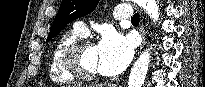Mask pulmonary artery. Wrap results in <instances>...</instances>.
Masks as SVG:
<instances>
[{"instance_id":"1","label":"pulmonary artery","mask_w":205,"mask_h":87,"mask_svg":"<svg viewBox=\"0 0 205 87\" xmlns=\"http://www.w3.org/2000/svg\"><path fill=\"white\" fill-rule=\"evenodd\" d=\"M132 16H133V11L131 5L129 4H124L116 7L112 13L113 20H124V19L131 18ZM74 30H76L81 35H86L88 33V29L83 22L75 23Z\"/></svg>"}]
</instances>
